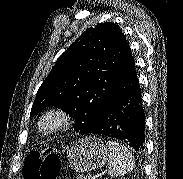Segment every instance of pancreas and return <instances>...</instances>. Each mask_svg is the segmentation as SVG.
Here are the masks:
<instances>
[{"instance_id":"pancreas-1","label":"pancreas","mask_w":183,"mask_h":179,"mask_svg":"<svg viewBox=\"0 0 183 179\" xmlns=\"http://www.w3.org/2000/svg\"><path fill=\"white\" fill-rule=\"evenodd\" d=\"M77 179H87L86 176H79Z\"/></svg>"}]
</instances>
